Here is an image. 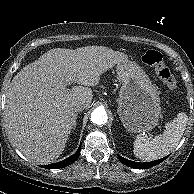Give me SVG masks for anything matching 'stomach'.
<instances>
[{
	"instance_id": "obj_1",
	"label": "stomach",
	"mask_w": 194,
	"mask_h": 194,
	"mask_svg": "<svg viewBox=\"0 0 194 194\" xmlns=\"http://www.w3.org/2000/svg\"><path fill=\"white\" fill-rule=\"evenodd\" d=\"M122 82L117 112L129 132L151 131L159 121L160 98L156 87L143 69L132 61H124L116 67Z\"/></svg>"
}]
</instances>
